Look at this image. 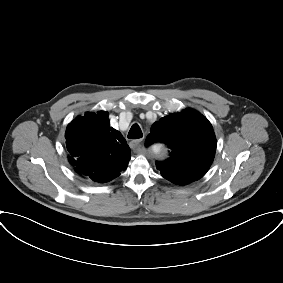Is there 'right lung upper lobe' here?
Returning <instances> with one entry per match:
<instances>
[{
  "label": "right lung upper lobe",
  "mask_w": 283,
  "mask_h": 283,
  "mask_svg": "<svg viewBox=\"0 0 283 283\" xmlns=\"http://www.w3.org/2000/svg\"><path fill=\"white\" fill-rule=\"evenodd\" d=\"M66 146L76 170L95 182L118 177L130 160V148L120 132L109 127L108 113L77 117L66 129Z\"/></svg>",
  "instance_id": "cb5924a9"
}]
</instances>
